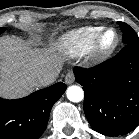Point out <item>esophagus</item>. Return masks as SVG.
Wrapping results in <instances>:
<instances>
[{"label":"esophagus","instance_id":"1","mask_svg":"<svg viewBox=\"0 0 139 139\" xmlns=\"http://www.w3.org/2000/svg\"><path fill=\"white\" fill-rule=\"evenodd\" d=\"M74 80H75L74 73L72 71L68 72L65 76V83L70 85L74 82Z\"/></svg>","mask_w":139,"mask_h":139}]
</instances>
